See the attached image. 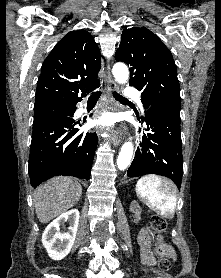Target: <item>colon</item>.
<instances>
[{
	"label": "colon",
	"mask_w": 221,
	"mask_h": 278,
	"mask_svg": "<svg viewBox=\"0 0 221 278\" xmlns=\"http://www.w3.org/2000/svg\"><path fill=\"white\" fill-rule=\"evenodd\" d=\"M167 228L166 220L161 216H153L150 222V230L156 239L155 251L159 254L158 265L162 271H169L172 268V256L167 252L166 246L160 238Z\"/></svg>",
	"instance_id": "colon-1"
}]
</instances>
